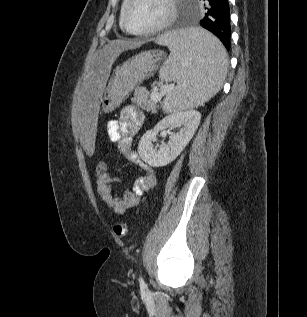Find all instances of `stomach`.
I'll use <instances>...</instances> for the list:
<instances>
[{"instance_id":"0dacf381","label":"stomach","mask_w":307,"mask_h":317,"mask_svg":"<svg viewBox=\"0 0 307 317\" xmlns=\"http://www.w3.org/2000/svg\"><path fill=\"white\" fill-rule=\"evenodd\" d=\"M163 56L162 51H146L117 66L103 97V111H113L137 85L157 70Z\"/></svg>"}]
</instances>
